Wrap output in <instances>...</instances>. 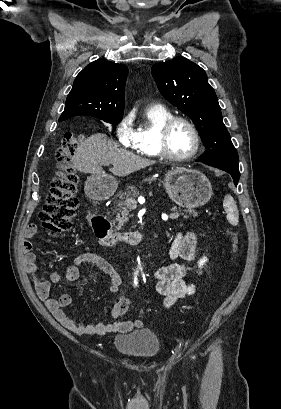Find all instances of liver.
I'll return each instance as SVG.
<instances>
[{
	"mask_svg": "<svg viewBox=\"0 0 281 409\" xmlns=\"http://www.w3.org/2000/svg\"><path fill=\"white\" fill-rule=\"evenodd\" d=\"M119 144H113L107 134H91L80 146H77L71 160L80 172H91L92 176H110L103 170L102 162H111L109 168L117 176H127L135 170L154 164L155 160L144 158L140 154H134L130 150L118 148Z\"/></svg>",
	"mask_w": 281,
	"mask_h": 409,
	"instance_id": "6515ba94",
	"label": "liver"
}]
</instances>
